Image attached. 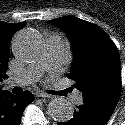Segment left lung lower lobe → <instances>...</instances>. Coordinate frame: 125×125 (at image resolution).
Wrapping results in <instances>:
<instances>
[{"label": "left lung lower lobe", "instance_id": "left-lung-lower-lobe-1", "mask_svg": "<svg viewBox=\"0 0 125 125\" xmlns=\"http://www.w3.org/2000/svg\"><path fill=\"white\" fill-rule=\"evenodd\" d=\"M114 109L110 107L81 104L73 113V117L58 125H105L110 119Z\"/></svg>", "mask_w": 125, "mask_h": 125}]
</instances>
